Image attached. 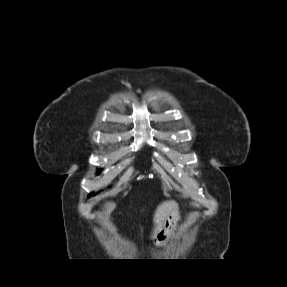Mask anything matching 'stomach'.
Instances as JSON below:
<instances>
[{
	"label": "stomach",
	"instance_id": "0dacf381",
	"mask_svg": "<svg viewBox=\"0 0 287 287\" xmlns=\"http://www.w3.org/2000/svg\"><path fill=\"white\" fill-rule=\"evenodd\" d=\"M178 219L179 215H170L164 221L163 226L158 230L153 238L154 245L164 246L170 240L177 226Z\"/></svg>",
	"mask_w": 287,
	"mask_h": 287
}]
</instances>
